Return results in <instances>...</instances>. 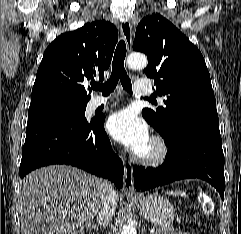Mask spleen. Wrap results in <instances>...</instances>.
I'll use <instances>...</instances> for the list:
<instances>
[{
  "label": "spleen",
  "mask_w": 241,
  "mask_h": 234,
  "mask_svg": "<svg viewBox=\"0 0 241 234\" xmlns=\"http://www.w3.org/2000/svg\"><path fill=\"white\" fill-rule=\"evenodd\" d=\"M168 194L178 195V196H181V197H186V193L182 192V191H170Z\"/></svg>",
  "instance_id": "3e777b00"
}]
</instances>
